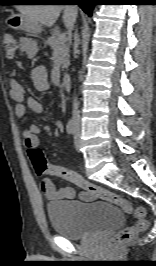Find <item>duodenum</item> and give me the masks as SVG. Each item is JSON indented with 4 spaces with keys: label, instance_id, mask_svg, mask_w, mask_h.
Returning a JSON list of instances; mask_svg holds the SVG:
<instances>
[{
    "label": "duodenum",
    "instance_id": "duodenum-1",
    "mask_svg": "<svg viewBox=\"0 0 156 266\" xmlns=\"http://www.w3.org/2000/svg\"><path fill=\"white\" fill-rule=\"evenodd\" d=\"M62 85L69 89L71 86V76L69 74H64L61 79Z\"/></svg>",
    "mask_w": 156,
    "mask_h": 266
}]
</instances>
